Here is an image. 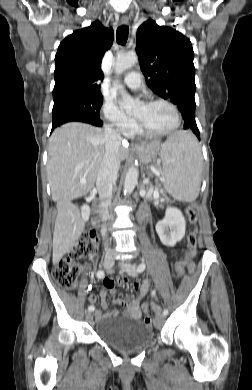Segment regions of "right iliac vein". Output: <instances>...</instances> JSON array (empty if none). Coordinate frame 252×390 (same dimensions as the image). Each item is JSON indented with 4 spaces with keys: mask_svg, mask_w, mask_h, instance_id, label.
I'll use <instances>...</instances> for the list:
<instances>
[{
    "mask_svg": "<svg viewBox=\"0 0 252 390\" xmlns=\"http://www.w3.org/2000/svg\"><path fill=\"white\" fill-rule=\"evenodd\" d=\"M114 265V259L112 257H107L103 261V266L106 270H111ZM87 321L91 322L93 319V315L90 311L86 312Z\"/></svg>",
    "mask_w": 252,
    "mask_h": 390,
    "instance_id": "63e3f726",
    "label": "right iliac vein"
}]
</instances>
